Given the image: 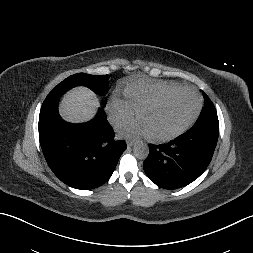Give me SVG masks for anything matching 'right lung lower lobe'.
Masks as SVG:
<instances>
[{"instance_id":"obj_1","label":"right lung lower lobe","mask_w":253,"mask_h":253,"mask_svg":"<svg viewBox=\"0 0 253 253\" xmlns=\"http://www.w3.org/2000/svg\"><path fill=\"white\" fill-rule=\"evenodd\" d=\"M60 96L45 99L39 115V138L44 157L63 183L82 190L104 184L112 175L126 149L102 108L93 120L73 124L58 113Z\"/></svg>"}]
</instances>
